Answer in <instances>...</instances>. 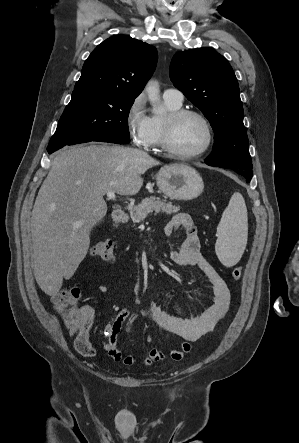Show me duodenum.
<instances>
[{"label": "duodenum", "mask_w": 299, "mask_h": 443, "mask_svg": "<svg viewBox=\"0 0 299 443\" xmlns=\"http://www.w3.org/2000/svg\"><path fill=\"white\" fill-rule=\"evenodd\" d=\"M128 219V215L122 211V210H117L113 213L112 218H111V226L113 228H117L119 226H121L122 224H124Z\"/></svg>", "instance_id": "410a0bca"}]
</instances>
